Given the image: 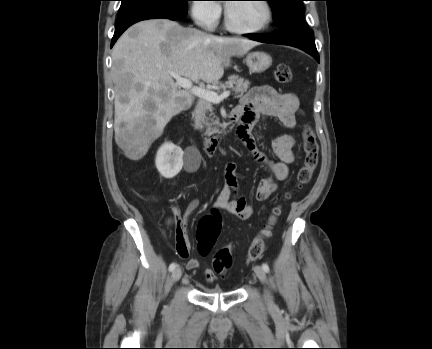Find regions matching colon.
<instances>
[{
  "instance_id": "colon-1",
  "label": "colon",
  "mask_w": 432,
  "mask_h": 349,
  "mask_svg": "<svg viewBox=\"0 0 432 349\" xmlns=\"http://www.w3.org/2000/svg\"><path fill=\"white\" fill-rule=\"evenodd\" d=\"M275 78L279 83L287 84L292 80V71L288 64L281 63L275 70ZM302 146L304 159L297 174V186L299 188L308 184L318 164L319 145L314 131L309 125H305L302 131ZM290 197L286 195V199ZM282 212V205L275 206L268 218L266 225L255 237L247 250V262H252L261 257L267 241L273 235V229ZM217 212L202 218L197 229L198 251L206 256L212 250L220 232V222ZM233 253L228 246L219 249L213 256L212 266L217 274H226L232 267Z\"/></svg>"
}]
</instances>
